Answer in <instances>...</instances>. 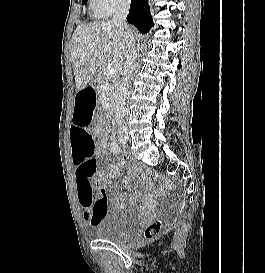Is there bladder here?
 <instances>
[{
	"instance_id": "obj_1",
	"label": "bladder",
	"mask_w": 265,
	"mask_h": 273,
	"mask_svg": "<svg viewBox=\"0 0 265 273\" xmlns=\"http://www.w3.org/2000/svg\"><path fill=\"white\" fill-rule=\"evenodd\" d=\"M139 223L136 212H107L92 226L90 233L98 240L122 243L136 235Z\"/></svg>"
}]
</instances>
